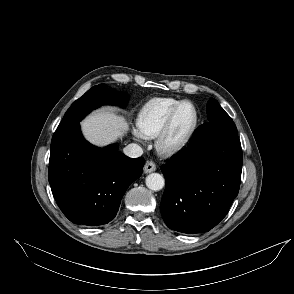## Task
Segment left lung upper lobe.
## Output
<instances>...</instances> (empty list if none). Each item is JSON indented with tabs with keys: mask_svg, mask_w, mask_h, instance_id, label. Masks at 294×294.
I'll list each match as a JSON object with an SVG mask.
<instances>
[{
	"mask_svg": "<svg viewBox=\"0 0 294 294\" xmlns=\"http://www.w3.org/2000/svg\"><path fill=\"white\" fill-rule=\"evenodd\" d=\"M207 118L209 122L233 121L215 99H211L207 104Z\"/></svg>",
	"mask_w": 294,
	"mask_h": 294,
	"instance_id": "left-lung-upper-lobe-1",
	"label": "left lung upper lobe"
}]
</instances>
